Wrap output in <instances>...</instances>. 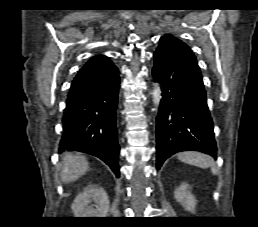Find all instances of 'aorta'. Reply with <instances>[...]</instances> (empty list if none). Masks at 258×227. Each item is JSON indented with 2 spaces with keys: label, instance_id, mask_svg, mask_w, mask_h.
<instances>
[{
  "label": "aorta",
  "instance_id": "aorta-1",
  "mask_svg": "<svg viewBox=\"0 0 258 227\" xmlns=\"http://www.w3.org/2000/svg\"><path fill=\"white\" fill-rule=\"evenodd\" d=\"M153 98H154V103L156 105L159 104V101H160V89L159 87H155L154 88V91H153Z\"/></svg>",
  "mask_w": 258,
  "mask_h": 227
}]
</instances>
